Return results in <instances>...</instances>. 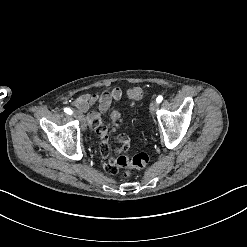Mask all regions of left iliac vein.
<instances>
[{"label": "left iliac vein", "mask_w": 247, "mask_h": 247, "mask_svg": "<svg viewBox=\"0 0 247 247\" xmlns=\"http://www.w3.org/2000/svg\"><path fill=\"white\" fill-rule=\"evenodd\" d=\"M157 109V102L155 100H152L149 105V110L152 115H155Z\"/></svg>", "instance_id": "1"}]
</instances>
